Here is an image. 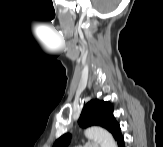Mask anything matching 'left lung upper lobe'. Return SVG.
Wrapping results in <instances>:
<instances>
[{
	"label": "left lung upper lobe",
	"mask_w": 163,
	"mask_h": 147,
	"mask_svg": "<svg viewBox=\"0 0 163 147\" xmlns=\"http://www.w3.org/2000/svg\"><path fill=\"white\" fill-rule=\"evenodd\" d=\"M78 124L83 127L92 125L107 129L114 138L120 133V126L113 116V105L102 100L89 101L82 110ZM70 141V135L65 134L56 140L53 147H65Z\"/></svg>",
	"instance_id": "left-lung-upper-lobe-1"
}]
</instances>
